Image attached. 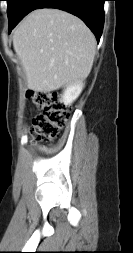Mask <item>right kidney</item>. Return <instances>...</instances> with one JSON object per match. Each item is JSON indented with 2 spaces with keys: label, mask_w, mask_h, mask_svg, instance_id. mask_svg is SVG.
Here are the masks:
<instances>
[{
  "label": "right kidney",
  "mask_w": 133,
  "mask_h": 253,
  "mask_svg": "<svg viewBox=\"0 0 133 253\" xmlns=\"http://www.w3.org/2000/svg\"><path fill=\"white\" fill-rule=\"evenodd\" d=\"M84 87L82 82L73 83L66 87L62 95V102L64 105H71L80 95Z\"/></svg>",
  "instance_id": "1"
}]
</instances>
